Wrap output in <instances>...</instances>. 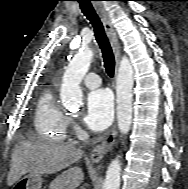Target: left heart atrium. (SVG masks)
<instances>
[{"label":"left heart atrium","mask_w":188,"mask_h":189,"mask_svg":"<svg viewBox=\"0 0 188 189\" xmlns=\"http://www.w3.org/2000/svg\"><path fill=\"white\" fill-rule=\"evenodd\" d=\"M113 114L114 101L108 89H97L88 94L84 122L90 129H106L113 120Z\"/></svg>","instance_id":"left-heart-atrium-1"}]
</instances>
